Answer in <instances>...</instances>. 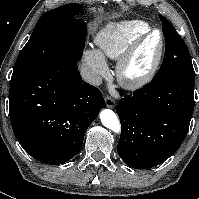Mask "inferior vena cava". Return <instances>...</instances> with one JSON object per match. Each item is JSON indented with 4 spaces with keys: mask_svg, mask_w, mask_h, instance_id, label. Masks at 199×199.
Returning a JSON list of instances; mask_svg holds the SVG:
<instances>
[{
    "mask_svg": "<svg viewBox=\"0 0 199 199\" xmlns=\"http://www.w3.org/2000/svg\"><path fill=\"white\" fill-rule=\"evenodd\" d=\"M80 73L82 78L86 82L94 86H99L102 84L101 76L98 73H96L94 70H92L90 67L86 65L81 66Z\"/></svg>",
    "mask_w": 199,
    "mask_h": 199,
    "instance_id": "602c4592",
    "label": "inferior vena cava"
}]
</instances>
